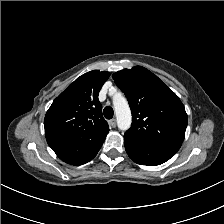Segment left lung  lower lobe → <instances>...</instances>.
Returning <instances> with one entry per match:
<instances>
[{"label":"left lung lower lobe","mask_w":224,"mask_h":224,"mask_svg":"<svg viewBox=\"0 0 224 224\" xmlns=\"http://www.w3.org/2000/svg\"><path fill=\"white\" fill-rule=\"evenodd\" d=\"M124 144L128 156L138 164L155 166L169 160L177 151L124 135Z\"/></svg>","instance_id":"left-lung-lower-lobe-1"}]
</instances>
